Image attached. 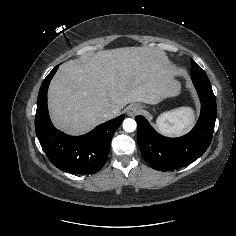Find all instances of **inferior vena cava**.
I'll list each match as a JSON object with an SVG mask.
<instances>
[{"instance_id":"602c4592","label":"inferior vena cava","mask_w":236,"mask_h":236,"mask_svg":"<svg viewBox=\"0 0 236 236\" xmlns=\"http://www.w3.org/2000/svg\"><path fill=\"white\" fill-rule=\"evenodd\" d=\"M117 115H118V111L117 110L108 111V112L105 113V118L106 119H112V118H114Z\"/></svg>"}]
</instances>
